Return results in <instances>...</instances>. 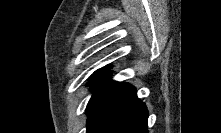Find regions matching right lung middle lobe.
Here are the masks:
<instances>
[{"label":"right lung middle lobe","instance_id":"dd1d6c3e","mask_svg":"<svg viewBox=\"0 0 221 133\" xmlns=\"http://www.w3.org/2000/svg\"><path fill=\"white\" fill-rule=\"evenodd\" d=\"M98 77H99L98 75H93V76L90 78V81H93V83L91 84V86L94 84V82L96 81V79H97Z\"/></svg>","mask_w":221,"mask_h":133}]
</instances>
